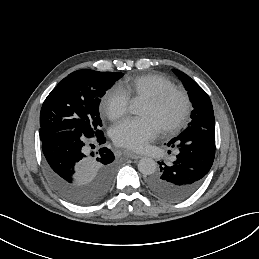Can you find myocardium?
Wrapping results in <instances>:
<instances>
[{
    "label": "myocardium",
    "mask_w": 259,
    "mask_h": 259,
    "mask_svg": "<svg viewBox=\"0 0 259 259\" xmlns=\"http://www.w3.org/2000/svg\"><path fill=\"white\" fill-rule=\"evenodd\" d=\"M174 97H179L181 99L182 110L178 118L173 123L166 124L161 127L162 131L167 134L177 133L188 120L191 112V99L188 92L183 88L173 86L160 92L157 95L147 98L151 105L159 108Z\"/></svg>",
    "instance_id": "f54148a6"
}]
</instances>
